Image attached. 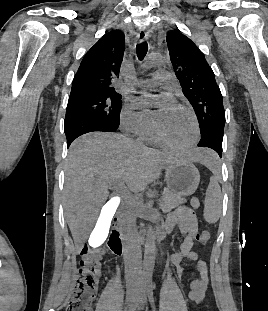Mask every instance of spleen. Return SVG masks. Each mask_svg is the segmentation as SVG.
Here are the masks:
<instances>
[{
  "instance_id": "1",
  "label": "spleen",
  "mask_w": 268,
  "mask_h": 311,
  "mask_svg": "<svg viewBox=\"0 0 268 311\" xmlns=\"http://www.w3.org/2000/svg\"><path fill=\"white\" fill-rule=\"evenodd\" d=\"M202 154L204 158L207 159V164L213 172L205 194L203 216L206 222L214 224L219 220L222 212L223 196L218 183L220 179V170L216 165L217 159L211 148H203Z\"/></svg>"
}]
</instances>
